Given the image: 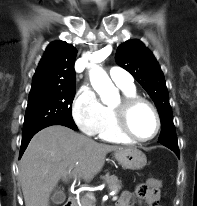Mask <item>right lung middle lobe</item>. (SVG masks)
I'll use <instances>...</instances> for the list:
<instances>
[{
    "label": "right lung middle lobe",
    "mask_w": 197,
    "mask_h": 206,
    "mask_svg": "<svg viewBox=\"0 0 197 206\" xmlns=\"http://www.w3.org/2000/svg\"><path fill=\"white\" fill-rule=\"evenodd\" d=\"M74 96L75 87L31 90L23 133L47 124L77 127L71 113Z\"/></svg>",
    "instance_id": "right-lung-middle-lobe-1"
}]
</instances>
